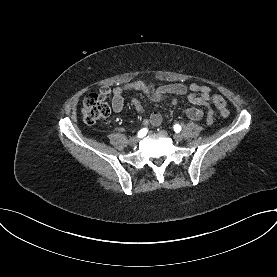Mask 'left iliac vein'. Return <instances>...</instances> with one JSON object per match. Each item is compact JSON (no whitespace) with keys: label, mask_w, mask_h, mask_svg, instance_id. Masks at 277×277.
I'll return each mask as SVG.
<instances>
[{"label":"left iliac vein","mask_w":277,"mask_h":277,"mask_svg":"<svg viewBox=\"0 0 277 277\" xmlns=\"http://www.w3.org/2000/svg\"><path fill=\"white\" fill-rule=\"evenodd\" d=\"M173 139L175 141L179 142V141H181L183 139V136L181 134L176 133V134L173 135Z\"/></svg>","instance_id":"obj_1"}]
</instances>
